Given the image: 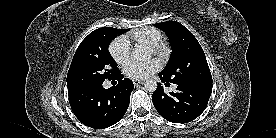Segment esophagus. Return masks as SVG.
Masks as SVG:
<instances>
[{"label": "esophagus", "instance_id": "esophagus-1", "mask_svg": "<svg viewBox=\"0 0 276 138\" xmlns=\"http://www.w3.org/2000/svg\"><path fill=\"white\" fill-rule=\"evenodd\" d=\"M133 83H134L135 86H137V85H139V84H141L143 82L140 81V80H133Z\"/></svg>", "mask_w": 276, "mask_h": 138}]
</instances>
